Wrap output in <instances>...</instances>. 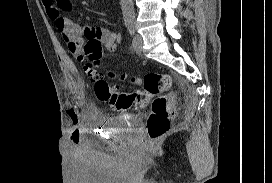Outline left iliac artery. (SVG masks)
<instances>
[{"mask_svg": "<svg viewBox=\"0 0 272 183\" xmlns=\"http://www.w3.org/2000/svg\"><path fill=\"white\" fill-rule=\"evenodd\" d=\"M128 29H129L130 34L133 35L134 32H135V27H134V25H133V24H129V25H128Z\"/></svg>", "mask_w": 272, "mask_h": 183, "instance_id": "1", "label": "left iliac artery"}]
</instances>
